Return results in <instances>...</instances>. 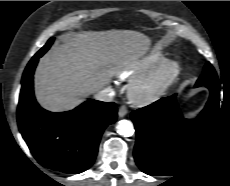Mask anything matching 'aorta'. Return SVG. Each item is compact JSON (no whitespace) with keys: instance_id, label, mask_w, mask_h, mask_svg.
Here are the masks:
<instances>
[{"instance_id":"762f6f07","label":"aorta","mask_w":230,"mask_h":186,"mask_svg":"<svg viewBox=\"0 0 230 186\" xmlns=\"http://www.w3.org/2000/svg\"><path fill=\"white\" fill-rule=\"evenodd\" d=\"M117 133L124 137H130L134 134L133 123L129 120H120L116 126Z\"/></svg>"}]
</instances>
